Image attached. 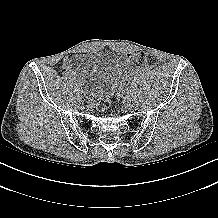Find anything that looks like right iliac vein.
<instances>
[{
  "label": "right iliac vein",
  "instance_id": "obj_1",
  "mask_svg": "<svg viewBox=\"0 0 218 218\" xmlns=\"http://www.w3.org/2000/svg\"><path fill=\"white\" fill-rule=\"evenodd\" d=\"M81 94L83 95L84 98H87V97H88V94L86 93L85 90H82V91H81ZM84 98L81 100L83 103L86 101Z\"/></svg>",
  "mask_w": 218,
  "mask_h": 218
}]
</instances>
